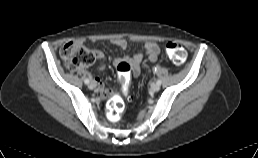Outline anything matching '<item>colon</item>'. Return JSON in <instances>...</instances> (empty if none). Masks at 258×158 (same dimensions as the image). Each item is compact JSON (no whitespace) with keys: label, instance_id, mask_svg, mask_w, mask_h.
<instances>
[{"label":"colon","instance_id":"1","mask_svg":"<svg viewBox=\"0 0 258 158\" xmlns=\"http://www.w3.org/2000/svg\"><path fill=\"white\" fill-rule=\"evenodd\" d=\"M165 51L168 58L175 65H182L186 60V50L182 44L169 41L165 44ZM61 58L69 69H77L81 66L92 65L96 56L93 52L89 51L80 41L72 40L66 42L60 50ZM131 66L126 61L117 63V78L123 85V91L127 90V85L130 81ZM108 116L110 120H119L121 113L124 109V102L121 97H112L107 105Z\"/></svg>","mask_w":258,"mask_h":158}]
</instances>
